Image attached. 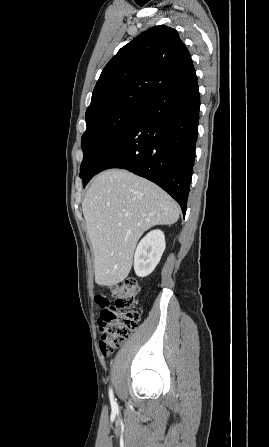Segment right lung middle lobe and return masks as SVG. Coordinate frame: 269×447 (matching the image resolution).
<instances>
[{
  "mask_svg": "<svg viewBox=\"0 0 269 447\" xmlns=\"http://www.w3.org/2000/svg\"><path fill=\"white\" fill-rule=\"evenodd\" d=\"M143 107V104L121 107L86 120L87 129L81 139L84 158L80 177L83 181L89 176L90 167L143 112Z\"/></svg>",
  "mask_w": 269,
  "mask_h": 447,
  "instance_id": "right-lung-middle-lobe-1",
  "label": "right lung middle lobe"
}]
</instances>
